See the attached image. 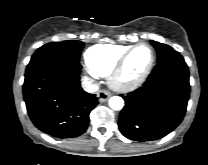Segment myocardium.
Wrapping results in <instances>:
<instances>
[{
    "label": "myocardium",
    "instance_id": "1",
    "mask_svg": "<svg viewBox=\"0 0 208 165\" xmlns=\"http://www.w3.org/2000/svg\"><path fill=\"white\" fill-rule=\"evenodd\" d=\"M140 47H147L151 52V58L147 67L135 78L126 79L124 78V72L127 65L128 60L135 50ZM156 60V54L153 47L147 43H137L130 48H128L119 58L114 68L112 69L109 81L113 88L119 91H131L138 88L144 81L147 79L149 74L151 73L154 63Z\"/></svg>",
    "mask_w": 208,
    "mask_h": 165
}]
</instances>
